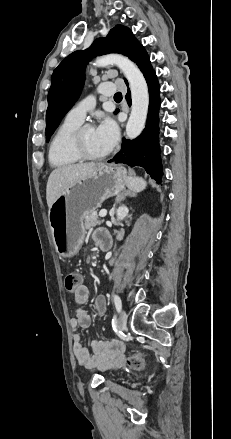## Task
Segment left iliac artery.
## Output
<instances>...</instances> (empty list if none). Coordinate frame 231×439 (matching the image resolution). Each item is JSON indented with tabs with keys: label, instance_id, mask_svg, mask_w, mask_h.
Here are the masks:
<instances>
[{
	"label": "left iliac artery",
	"instance_id": "obj_1",
	"mask_svg": "<svg viewBox=\"0 0 231 439\" xmlns=\"http://www.w3.org/2000/svg\"><path fill=\"white\" fill-rule=\"evenodd\" d=\"M113 297H114L115 307L117 311L120 312L122 307L121 299L118 295H114Z\"/></svg>",
	"mask_w": 231,
	"mask_h": 439
}]
</instances>
